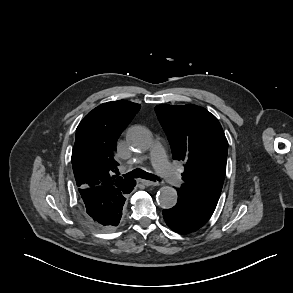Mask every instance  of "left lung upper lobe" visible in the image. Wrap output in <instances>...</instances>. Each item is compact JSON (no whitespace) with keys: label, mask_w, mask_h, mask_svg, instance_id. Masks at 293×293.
Instances as JSON below:
<instances>
[{"label":"left lung upper lobe","mask_w":293,"mask_h":293,"mask_svg":"<svg viewBox=\"0 0 293 293\" xmlns=\"http://www.w3.org/2000/svg\"><path fill=\"white\" fill-rule=\"evenodd\" d=\"M155 112L173 159L183 162L179 191L216 208L226 173L228 142L217 118L195 105H158Z\"/></svg>","instance_id":"5c2ea615"}]
</instances>
